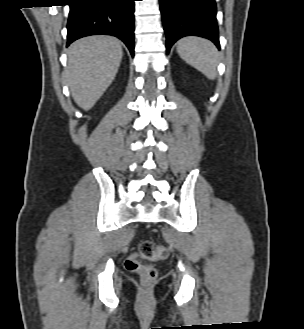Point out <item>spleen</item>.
I'll return each mask as SVG.
<instances>
[{
  "label": "spleen",
  "mask_w": 304,
  "mask_h": 329,
  "mask_svg": "<svg viewBox=\"0 0 304 329\" xmlns=\"http://www.w3.org/2000/svg\"><path fill=\"white\" fill-rule=\"evenodd\" d=\"M177 53L209 79L216 78L218 51L213 43L199 37H185L177 43Z\"/></svg>",
  "instance_id": "1"
}]
</instances>
